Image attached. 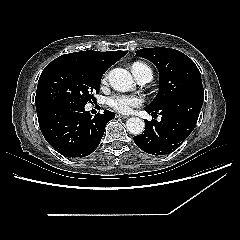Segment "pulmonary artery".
<instances>
[{
	"label": "pulmonary artery",
	"instance_id": "e3ab8cb5",
	"mask_svg": "<svg viewBox=\"0 0 240 240\" xmlns=\"http://www.w3.org/2000/svg\"><path fill=\"white\" fill-rule=\"evenodd\" d=\"M152 79V75L148 72H142L138 77L137 80L141 84H145L150 82Z\"/></svg>",
	"mask_w": 240,
	"mask_h": 240
}]
</instances>
